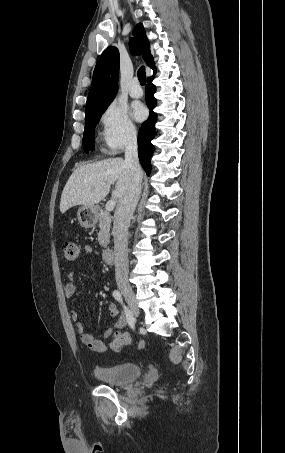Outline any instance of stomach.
<instances>
[{"label": "stomach", "mask_w": 285, "mask_h": 453, "mask_svg": "<svg viewBox=\"0 0 285 453\" xmlns=\"http://www.w3.org/2000/svg\"><path fill=\"white\" fill-rule=\"evenodd\" d=\"M77 218L79 224L84 228L95 226L98 218L96 208L92 206H81L78 209Z\"/></svg>", "instance_id": "obj_1"}]
</instances>
